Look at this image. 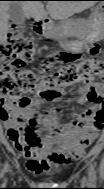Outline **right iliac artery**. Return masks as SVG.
<instances>
[{"mask_svg": "<svg viewBox=\"0 0 104 189\" xmlns=\"http://www.w3.org/2000/svg\"><path fill=\"white\" fill-rule=\"evenodd\" d=\"M8 170H9V165H8V163H6L3 172L7 173Z\"/></svg>", "mask_w": 104, "mask_h": 189, "instance_id": "82829eb1", "label": "right iliac artery"}]
</instances>
